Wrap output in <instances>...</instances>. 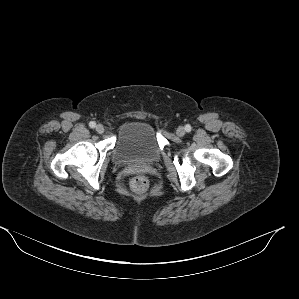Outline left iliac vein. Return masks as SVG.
Returning <instances> with one entry per match:
<instances>
[{
  "mask_svg": "<svg viewBox=\"0 0 299 299\" xmlns=\"http://www.w3.org/2000/svg\"><path fill=\"white\" fill-rule=\"evenodd\" d=\"M176 133L178 136H183L185 134V129L183 127H179Z\"/></svg>",
  "mask_w": 299,
  "mask_h": 299,
  "instance_id": "1",
  "label": "left iliac vein"
}]
</instances>
